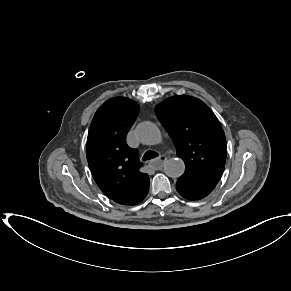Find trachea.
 <instances>
[{
    "mask_svg": "<svg viewBox=\"0 0 291 291\" xmlns=\"http://www.w3.org/2000/svg\"><path fill=\"white\" fill-rule=\"evenodd\" d=\"M158 156V153L154 152V151H147L142 160L143 161H146V160H150V159H153V158H156Z\"/></svg>",
    "mask_w": 291,
    "mask_h": 291,
    "instance_id": "obj_1",
    "label": "trachea"
}]
</instances>
